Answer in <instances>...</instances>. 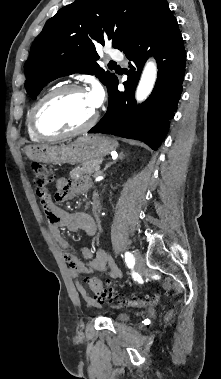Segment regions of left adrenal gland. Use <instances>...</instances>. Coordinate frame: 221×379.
<instances>
[{
	"mask_svg": "<svg viewBox=\"0 0 221 379\" xmlns=\"http://www.w3.org/2000/svg\"><path fill=\"white\" fill-rule=\"evenodd\" d=\"M123 158H124V154L121 152V153L119 154L118 158H117L115 161H113V162H109L108 164H106L105 168L103 169V172H104L107 168H109L112 164L116 163L117 160H119V159H120V160H123Z\"/></svg>",
	"mask_w": 221,
	"mask_h": 379,
	"instance_id": "left-adrenal-gland-1",
	"label": "left adrenal gland"
}]
</instances>
